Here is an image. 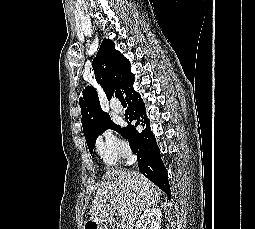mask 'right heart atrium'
I'll return each mask as SVG.
<instances>
[{"instance_id": "1", "label": "right heart atrium", "mask_w": 255, "mask_h": 229, "mask_svg": "<svg viewBox=\"0 0 255 229\" xmlns=\"http://www.w3.org/2000/svg\"><path fill=\"white\" fill-rule=\"evenodd\" d=\"M95 148L102 162L107 166L116 164L129 153V146L111 131H104L96 140Z\"/></svg>"}]
</instances>
